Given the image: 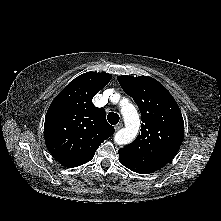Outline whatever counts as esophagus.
I'll return each instance as SVG.
<instances>
[{
  "instance_id": "34e87169",
  "label": "esophagus",
  "mask_w": 221,
  "mask_h": 221,
  "mask_svg": "<svg viewBox=\"0 0 221 221\" xmlns=\"http://www.w3.org/2000/svg\"><path fill=\"white\" fill-rule=\"evenodd\" d=\"M122 127H123V123L120 122V123H118V124L115 126V130L118 131V130H120Z\"/></svg>"
}]
</instances>
